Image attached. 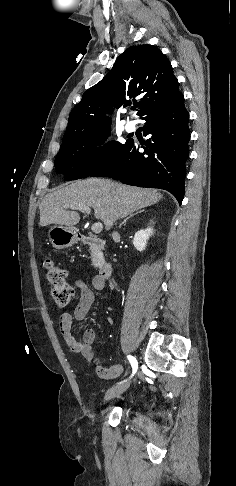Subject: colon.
Masks as SVG:
<instances>
[{
	"label": "colon",
	"mask_w": 236,
	"mask_h": 486,
	"mask_svg": "<svg viewBox=\"0 0 236 486\" xmlns=\"http://www.w3.org/2000/svg\"><path fill=\"white\" fill-rule=\"evenodd\" d=\"M43 267L46 271V279L51 286L52 297L56 306L59 308L68 306L73 298L74 290L66 282L65 270L58 267L51 259H45Z\"/></svg>",
	"instance_id": "5ec220e1"
}]
</instances>
